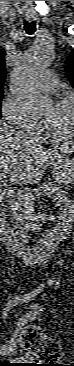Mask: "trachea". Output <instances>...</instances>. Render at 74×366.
Segmentation results:
<instances>
[{
  "instance_id": "3493384b",
  "label": "trachea",
  "mask_w": 74,
  "mask_h": 366,
  "mask_svg": "<svg viewBox=\"0 0 74 366\" xmlns=\"http://www.w3.org/2000/svg\"><path fill=\"white\" fill-rule=\"evenodd\" d=\"M24 30L28 35H33L36 31V22L35 21H32V22L25 21Z\"/></svg>"
}]
</instances>
